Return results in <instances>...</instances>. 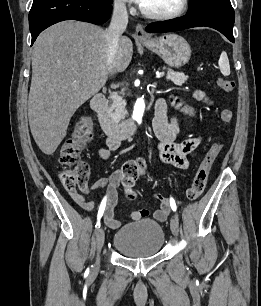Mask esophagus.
<instances>
[{"mask_svg":"<svg viewBox=\"0 0 261 306\" xmlns=\"http://www.w3.org/2000/svg\"><path fill=\"white\" fill-rule=\"evenodd\" d=\"M135 37L141 41L150 39L149 35L145 32L143 26L140 24L136 26Z\"/></svg>","mask_w":261,"mask_h":306,"instance_id":"obj_1","label":"esophagus"}]
</instances>
